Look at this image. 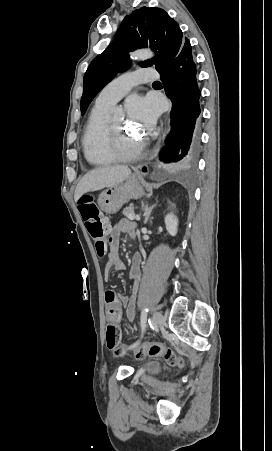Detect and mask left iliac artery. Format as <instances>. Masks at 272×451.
<instances>
[{"label": "left iliac artery", "instance_id": "obj_1", "mask_svg": "<svg viewBox=\"0 0 272 451\" xmlns=\"http://www.w3.org/2000/svg\"><path fill=\"white\" fill-rule=\"evenodd\" d=\"M147 313H148V308L144 307L141 313V317H140V325H141V329L142 332H144L145 327H146V320H147ZM139 341L134 343L133 345H131L129 347V349L135 348L138 345Z\"/></svg>", "mask_w": 272, "mask_h": 451}]
</instances>
